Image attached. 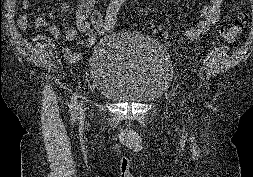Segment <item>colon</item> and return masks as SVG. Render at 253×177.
I'll return each mask as SVG.
<instances>
[{
    "label": "colon",
    "mask_w": 253,
    "mask_h": 177,
    "mask_svg": "<svg viewBox=\"0 0 253 177\" xmlns=\"http://www.w3.org/2000/svg\"><path fill=\"white\" fill-rule=\"evenodd\" d=\"M128 4V0H109L103 10V35L109 36L117 26L120 14L125 6ZM247 21V14L240 12L232 26L226 29H222L216 36L215 40L222 41L224 43L234 42L239 35L243 32Z\"/></svg>",
    "instance_id": "1"
}]
</instances>
